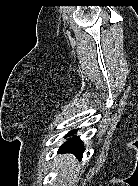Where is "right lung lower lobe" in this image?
Returning a JSON list of instances; mask_svg holds the SVG:
<instances>
[{
	"label": "right lung lower lobe",
	"mask_w": 138,
	"mask_h": 186,
	"mask_svg": "<svg viewBox=\"0 0 138 186\" xmlns=\"http://www.w3.org/2000/svg\"><path fill=\"white\" fill-rule=\"evenodd\" d=\"M77 130L70 131L66 137L72 136L76 133ZM84 151V146L82 145V141L79 137L73 136V138H69L67 142H65L59 149V152L62 153H73L78 158H82V154Z\"/></svg>",
	"instance_id": "obj_1"
}]
</instances>
